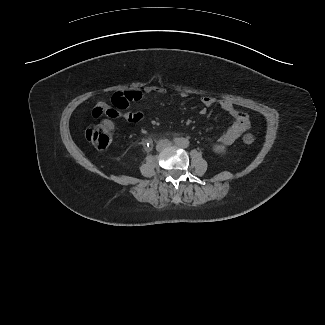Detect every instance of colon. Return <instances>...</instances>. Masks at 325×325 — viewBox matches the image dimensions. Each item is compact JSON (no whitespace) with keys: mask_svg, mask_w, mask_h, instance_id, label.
Listing matches in <instances>:
<instances>
[{"mask_svg":"<svg viewBox=\"0 0 325 325\" xmlns=\"http://www.w3.org/2000/svg\"><path fill=\"white\" fill-rule=\"evenodd\" d=\"M112 132L113 125L104 120L88 126L85 130V138L96 150L104 151L111 143ZM242 140L246 144H251L255 141V137L248 133L243 136Z\"/></svg>","mask_w":325,"mask_h":325,"instance_id":"5ec220e1","label":"colon"}]
</instances>
